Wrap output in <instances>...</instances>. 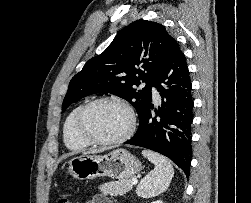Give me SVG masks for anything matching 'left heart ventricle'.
Wrapping results in <instances>:
<instances>
[{"label":"left heart ventricle","instance_id":"obj_1","mask_svg":"<svg viewBox=\"0 0 251 203\" xmlns=\"http://www.w3.org/2000/svg\"><path fill=\"white\" fill-rule=\"evenodd\" d=\"M127 112L114 103H99L91 107L85 115L83 127L87 134L100 140H110L121 136L128 128Z\"/></svg>","mask_w":251,"mask_h":203}]
</instances>
